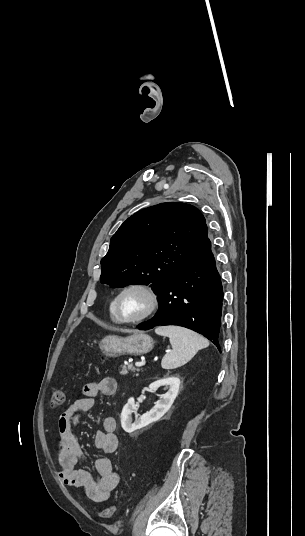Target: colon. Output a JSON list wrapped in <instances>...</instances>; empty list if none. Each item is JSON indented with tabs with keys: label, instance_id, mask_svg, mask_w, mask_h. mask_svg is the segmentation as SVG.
I'll use <instances>...</instances> for the list:
<instances>
[{
	"label": "colon",
	"instance_id": "5ec220e1",
	"mask_svg": "<svg viewBox=\"0 0 305 536\" xmlns=\"http://www.w3.org/2000/svg\"><path fill=\"white\" fill-rule=\"evenodd\" d=\"M50 403H51L52 408H55V409L65 405V403H66V393H65V391H63V390H55L51 395ZM114 509H115L114 506L105 507L102 511L99 512L98 515L101 518H105V519L109 518V517H111L113 515Z\"/></svg>",
	"mask_w": 305,
	"mask_h": 536
}]
</instances>
